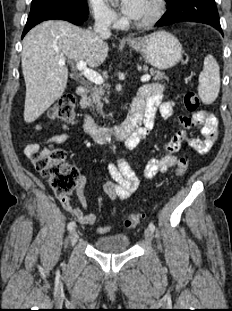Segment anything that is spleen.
Instances as JSON below:
<instances>
[{"label": "spleen", "instance_id": "obj_1", "mask_svg": "<svg viewBox=\"0 0 232 311\" xmlns=\"http://www.w3.org/2000/svg\"><path fill=\"white\" fill-rule=\"evenodd\" d=\"M220 90V69L215 58L207 55L204 59L203 70L199 75L198 94L205 104L213 103Z\"/></svg>", "mask_w": 232, "mask_h": 311}]
</instances>
